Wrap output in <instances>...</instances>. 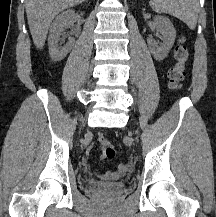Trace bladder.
<instances>
[{"label": "bladder", "mask_w": 216, "mask_h": 217, "mask_svg": "<svg viewBox=\"0 0 216 217\" xmlns=\"http://www.w3.org/2000/svg\"><path fill=\"white\" fill-rule=\"evenodd\" d=\"M124 187H125L124 183H116V184L104 186L103 189H106V190H121Z\"/></svg>", "instance_id": "1"}]
</instances>
